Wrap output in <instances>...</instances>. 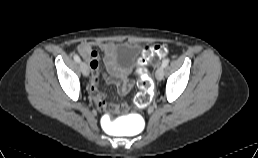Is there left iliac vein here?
<instances>
[{
  "label": "left iliac vein",
  "instance_id": "1",
  "mask_svg": "<svg viewBox=\"0 0 258 158\" xmlns=\"http://www.w3.org/2000/svg\"><path fill=\"white\" fill-rule=\"evenodd\" d=\"M156 79L161 81L164 77V67L160 66L156 71Z\"/></svg>",
  "mask_w": 258,
  "mask_h": 158
}]
</instances>
